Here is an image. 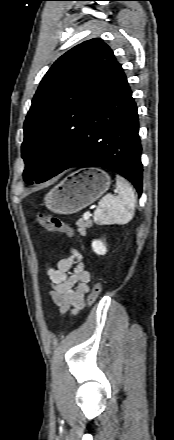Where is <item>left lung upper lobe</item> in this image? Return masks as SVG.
<instances>
[{
    "label": "left lung upper lobe",
    "mask_w": 174,
    "mask_h": 440,
    "mask_svg": "<svg viewBox=\"0 0 174 440\" xmlns=\"http://www.w3.org/2000/svg\"><path fill=\"white\" fill-rule=\"evenodd\" d=\"M117 65L113 51L94 38L70 49L48 70L23 127L26 183L52 178L74 157L90 109L107 88Z\"/></svg>",
    "instance_id": "obj_1"
}]
</instances>
